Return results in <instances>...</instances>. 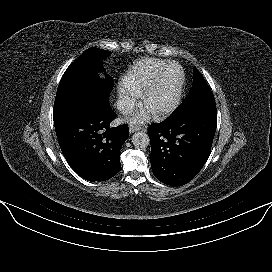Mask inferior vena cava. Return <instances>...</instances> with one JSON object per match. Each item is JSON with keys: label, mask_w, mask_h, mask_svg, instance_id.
I'll list each match as a JSON object with an SVG mask.
<instances>
[{"label": "inferior vena cava", "mask_w": 272, "mask_h": 272, "mask_svg": "<svg viewBox=\"0 0 272 272\" xmlns=\"http://www.w3.org/2000/svg\"><path fill=\"white\" fill-rule=\"evenodd\" d=\"M115 107L122 113H129L134 107V102L127 98L119 99L116 101Z\"/></svg>", "instance_id": "1"}]
</instances>
